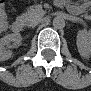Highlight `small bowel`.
I'll list each match as a JSON object with an SVG mask.
<instances>
[{"label": "small bowel", "instance_id": "small-bowel-1", "mask_svg": "<svg viewBox=\"0 0 91 91\" xmlns=\"http://www.w3.org/2000/svg\"><path fill=\"white\" fill-rule=\"evenodd\" d=\"M0 28L5 30L7 28L6 12L0 11Z\"/></svg>", "mask_w": 91, "mask_h": 91}]
</instances>
